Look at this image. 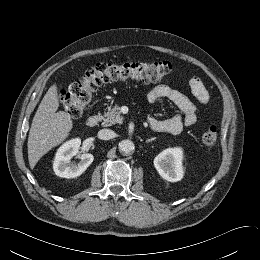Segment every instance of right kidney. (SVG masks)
Segmentation results:
<instances>
[{
  "label": "right kidney",
  "mask_w": 260,
  "mask_h": 260,
  "mask_svg": "<svg viewBox=\"0 0 260 260\" xmlns=\"http://www.w3.org/2000/svg\"><path fill=\"white\" fill-rule=\"evenodd\" d=\"M81 140L72 139L64 143L57 151L53 163V169L57 176L63 178H75L80 176L93 162L94 157L90 153L80 154L78 163L71 162L73 156L79 154Z\"/></svg>",
  "instance_id": "right-kidney-1"
}]
</instances>
